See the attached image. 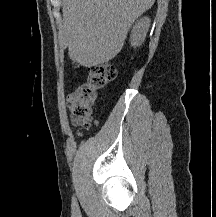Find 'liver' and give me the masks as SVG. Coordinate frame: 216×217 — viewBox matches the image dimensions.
Listing matches in <instances>:
<instances>
[{"mask_svg": "<svg viewBox=\"0 0 216 217\" xmlns=\"http://www.w3.org/2000/svg\"><path fill=\"white\" fill-rule=\"evenodd\" d=\"M155 0H63L59 44L72 61L97 66L123 48L135 20Z\"/></svg>", "mask_w": 216, "mask_h": 217, "instance_id": "obj_1", "label": "liver"}]
</instances>
